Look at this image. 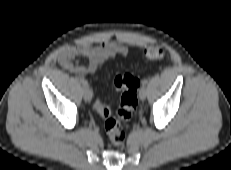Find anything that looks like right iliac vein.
Returning a JSON list of instances; mask_svg holds the SVG:
<instances>
[{"mask_svg":"<svg viewBox=\"0 0 231 170\" xmlns=\"http://www.w3.org/2000/svg\"><path fill=\"white\" fill-rule=\"evenodd\" d=\"M83 97L86 102H90L92 99V90L89 87H84Z\"/></svg>","mask_w":231,"mask_h":170,"instance_id":"obj_1","label":"right iliac vein"}]
</instances>
